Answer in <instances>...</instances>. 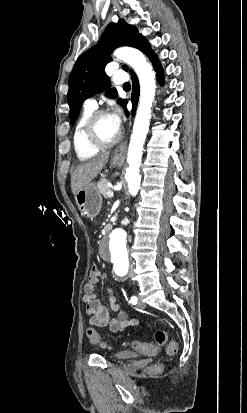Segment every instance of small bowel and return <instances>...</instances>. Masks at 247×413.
<instances>
[{"instance_id":"small-bowel-1","label":"small bowel","mask_w":247,"mask_h":413,"mask_svg":"<svg viewBox=\"0 0 247 413\" xmlns=\"http://www.w3.org/2000/svg\"><path fill=\"white\" fill-rule=\"evenodd\" d=\"M99 282H87L84 285L83 303L86 313L89 315V324L92 326H107L113 333L125 331L138 324V319H130L126 312L120 311V305L116 301L114 291L111 287L106 288L108 299L113 311H118L117 317L113 318L106 307L97 298Z\"/></svg>"}]
</instances>
